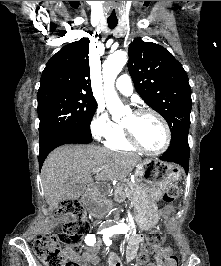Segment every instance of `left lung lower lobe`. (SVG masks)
Segmentation results:
<instances>
[{"mask_svg": "<svg viewBox=\"0 0 221 266\" xmlns=\"http://www.w3.org/2000/svg\"><path fill=\"white\" fill-rule=\"evenodd\" d=\"M189 155L190 148L188 145V140H183L175 142L174 145L170 146V148L160 157V159L181 165L187 173L189 167Z\"/></svg>", "mask_w": 221, "mask_h": 266, "instance_id": "0a47b994", "label": "left lung lower lobe"}]
</instances>
